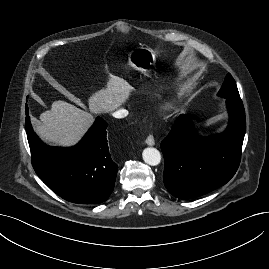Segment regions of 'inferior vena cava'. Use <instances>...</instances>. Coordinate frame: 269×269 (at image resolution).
I'll use <instances>...</instances> for the list:
<instances>
[{
	"mask_svg": "<svg viewBox=\"0 0 269 269\" xmlns=\"http://www.w3.org/2000/svg\"><path fill=\"white\" fill-rule=\"evenodd\" d=\"M128 115V111L126 109H119L113 113L115 118H124Z\"/></svg>",
	"mask_w": 269,
	"mask_h": 269,
	"instance_id": "inferior-vena-cava-1",
	"label": "inferior vena cava"
}]
</instances>
